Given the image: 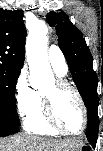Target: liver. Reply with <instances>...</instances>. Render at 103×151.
Segmentation results:
<instances>
[{
	"mask_svg": "<svg viewBox=\"0 0 103 151\" xmlns=\"http://www.w3.org/2000/svg\"><path fill=\"white\" fill-rule=\"evenodd\" d=\"M81 142L17 134L0 140V151H61Z\"/></svg>",
	"mask_w": 103,
	"mask_h": 151,
	"instance_id": "liver-1",
	"label": "liver"
}]
</instances>
